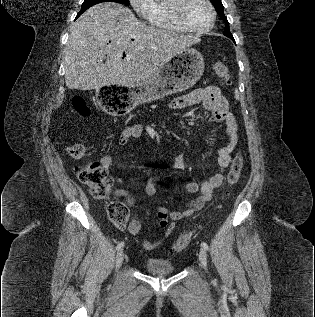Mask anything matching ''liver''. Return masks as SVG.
Masks as SVG:
<instances>
[{"instance_id":"1","label":"liver","mask_w":315,"mask_h":317,"mask_svg":"<svg viewBox=\"0 0 315 317\" xmlns=\"http://www.w3.org/2000/svg\"><path fill=\"white\" fill-rule=\"evenodd\" d=\"M198 42L196 36L147 26L122 5L101 3L70 28L64 60L66 86L91 90L147 81L177 53Z\"/></svg>"}]
</instances>
